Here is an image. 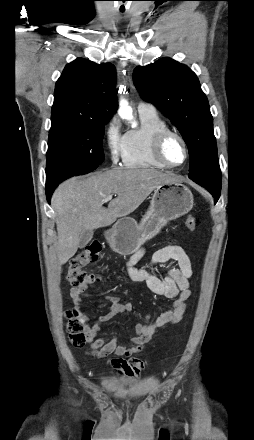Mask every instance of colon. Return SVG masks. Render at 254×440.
Here are the masks:
<instances>
[{"mask_svg":"<svg viewBox=\"0 0 254 440\" xmlns=\"http://www.w3.org/2000/svg\"><path fill=\"white\" fill-rule=\"evenodd\" d=\"M196 217L186 216L184 226L188 230L196 227ZM101 244L92 242L82 247L72 258L68 269L67 279L73 286H88L97 280V275L87 272L84 268L91 262L98 260L101 254ZM66 330L71 344L75 347H82L87 339L85 320L76 312H67Z\"/></svg>","mask_w":254,"mask_h":440,"instance_id":"obj_1","label":"colon"}]
</instances>
